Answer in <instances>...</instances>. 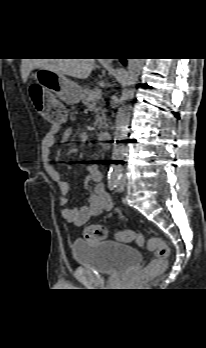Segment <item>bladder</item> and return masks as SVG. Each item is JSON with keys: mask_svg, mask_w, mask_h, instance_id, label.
Returning <instances> with one entry per match:
<instances>
[{"mask_svg": "<svg viewBox=\"0 0 206 348\" xmlns=\"http://www.w3.org/2000/svg\"><path fill=\"white\" fill-rule=\"evenodd\" d=\"M72 253L78 265L105 275L120 274L141 260L135 247L114 241L78 240L73 243Z\"/></svg>", "mask_w": 206, "mask_h": 348, "instance_id": "bladder-1", "label": "bladder"}]
</instances>
